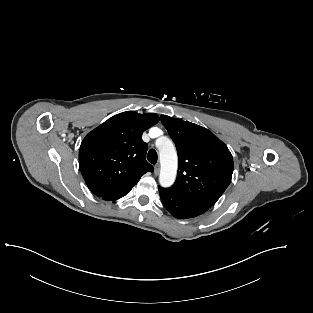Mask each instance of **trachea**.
<instances>
[{"instance_id": "3493384b", "label": "trachea", "mask_w": 313, "mask_h": 313, "mask_svg": "<svg viewBox=\"0 0 313 313\" xmlns=\"http://www.w3.org/2000/svg\"><path fill=\"white\" fill-rule=\"evenodd\" d=\"M147 160L152 163V164H156L157 160H158V155L157 152L154 149L149 150L148 154H147Z\"/></svg>"}]
</instances>
